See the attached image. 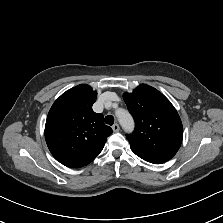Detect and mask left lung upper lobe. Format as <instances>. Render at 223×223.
Returning <instances> with one entry per match:
<instances>
[{"mask_svg": "<svg viewBox=\"0 0 223 223\" xmlns=\"http://www.w3.org/2000/svg\"><path fill=\"white\" fill-rule=\"evenodd\" d=\"M123 98L136 125L134 132L127 135L132 151L154 164L170 160L183 137L182 122L171 102L145 84L124 93Z\"/></svg>", "mask_w": 223, "mask_h": 223, "instance_id": "1", "label": "left lung upper lobe"}]
</instances>
